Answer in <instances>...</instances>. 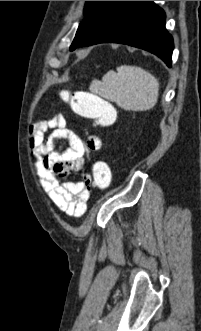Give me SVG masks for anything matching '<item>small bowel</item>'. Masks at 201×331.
Wrapping results in <instances>:
<instances>
[{"label":"small bowel","instance_id":"1","mask_svg":"<svg viewBox=\"0 0 201 331\" xmlns=\"http://www.w3.org/2000/svg\"><path fill=\"white\" fill-rule=\"evenodd\" d=\"M53 130L50 139L44 142V134ZM66 142L67 147L52 150L56 141ZM29 147L34 158V166L40 183L50 200L68 216L81 217L87 209L90 188L93 184L88 174H82L80 181H66L70 171H80L85 166V156L97 151L101 141L97 136H90L83 141L67 128L63 114L55 113L30 126Z\"/></svg>","mask_w":201,"mask_h":331}]
</instances>
